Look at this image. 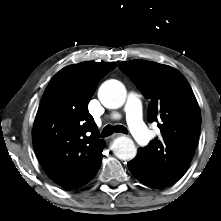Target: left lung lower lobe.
<instances>
[{
	"label": "left lung lower lobe",
	"instance_id": "obj_1",
	"mask_svg": "<svg viewBox=\"0 0 221 221\" xmlns=\"http://www.w3.org/2000/svg\"><path fill=\"white\" fill-rule=\"evenodd\" d=\"M128 167L133 176L144 185L153 188H160L155 184L150 176L147 165L139 152L133 160L128 162Z\"/></svg>",
	"mask_w": 221,
	"mask_h": 221
}]
</instances>
